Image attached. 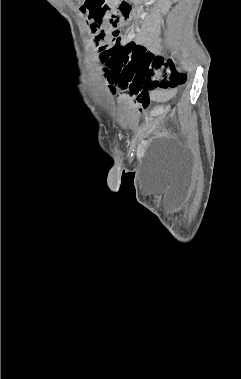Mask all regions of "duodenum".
<instances>
[{
    "label": "duodenum",
    "instance_id": "obj_1",
    "mask_svg": "<svg viewBox=\"0 0 241 379\" xmlns=\"http://www.w3.org/2000/svg\"><path fill=\"white\" fill-rule=\"evenodd\" d=\"M108 8H113L112 19L116 23L125 22L129 17L130 5L128 0H121L116 2V0H107Z\"/></svg>",
    "mask_w": 241,
    "mask_h": 379
}]
</instances>
